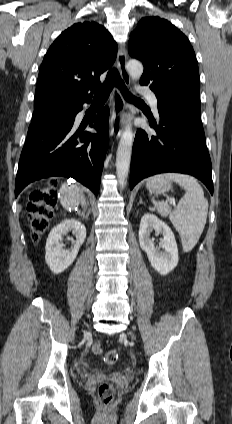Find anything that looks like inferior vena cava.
I'll return each mask as SVG.
<instances>
[{
	"label": "inferior vena cava",
	"mask_w": 232,
	"mask_h": 424,
	"mask_svg": "<svg viewBox=\"0 0 232 424\" xmlns=\"http://www.w3.org/2000/svg\"><path fill=\"white\" fill-rule=\"evenodd\" d=\"M81 203H82V205L85 204L83 197H81Z\"/></svg>",
	"instance_id": "602c4592"
}]
</instances>
